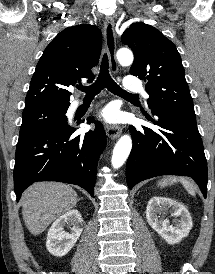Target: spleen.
Instances as JSON below:
<instances>
[{"instance_id": "1", "label": "spleen", "mask_w": 215, "mask_h": 274, "mask_svg": "<svg viewBox=\"0 0 215 274\" xmlns=\"http://www.w3.org/2000/svg\"><path fill=\"white\" fill-rule=\"evenodd\" d=\"M177 181H180L182 184H183V186L185 187V189L191 194V195H195V191H194V189H193V186H192V184H191V182L190 181H188V180H185V179H183V178H180V179H176V178H172V180H170V179H164L162 182H160L159 184L161 185V186H165V185H167V183H169V182H177Z\"/></svg>"}]
</instances>
